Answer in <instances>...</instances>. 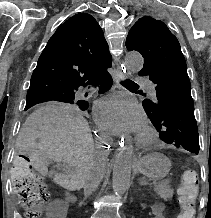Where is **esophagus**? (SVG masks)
I'll list each match as a JSON object with an SVG mask.
<instances>
[{
  "instance_id": "34e87169",
  "label": "esophagus",
  "mask_w": 211,
  "mask_h": 218,
  "mask_svg": "<svg viewBox=\"0 0 211 218\" xmlns=\"http://www.w3.org/2000/svg\"><path fill=\"white\" fill-rule=\"evenodd\" d=\"M125 75H128V71L123 69L120 65H117L115 81L118 82L120 79H123ZM119 135L120 136H117V139L115 140L116 144H127V141L131 140L130 136H126V132H121ZM124 149V145H114V150H120V152H124Z\"/></svg>"
}]
</instances>
